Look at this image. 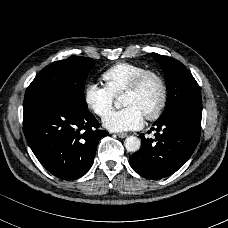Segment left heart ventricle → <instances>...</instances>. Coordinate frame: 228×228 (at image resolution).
Returning a JSON list of instances; mask_svg holds the SVG:
<instances>
[{
	"mask_svg": "<svg viewBox=\"0 0 228 228\" xmlns=\"http://www.w3.org/2000/svg\"><path fill=\"white\" fill-rule=\"evenodd\" d=\"M161 97L162 90L159 82L157 79L150 77L137 92L123 94L122 105L135 107L144 116L156 110Z\"/></svg>",
	"mask_w": 228,
	"mask_h": 228,
	"instance_id": "b2bd125f",
	"label": "left heart ventricle"
}]
</instances>
